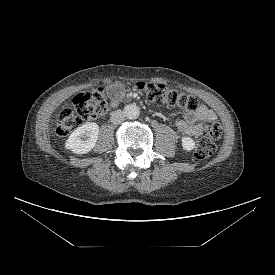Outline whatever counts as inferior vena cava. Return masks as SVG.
I'll return each mask as SVG.
<instances>
[{"instance_id": "1", "label": "inferior vena cava", "mask_w": 275, "mask_h": 275, "mask_svg": "<svg viewBox=\"0 0 275 275\" xmlns=\"http://www.w3.org/2000/svg\"><path fill=\"white\" fill-rule=\"evenodd\" d=\"M124 120H125V114H124L123 111L117 110V111L112 112L110 121H111L113 124H120V123L123 122Z\"/></svg>"}]
</instances>
